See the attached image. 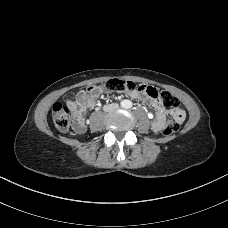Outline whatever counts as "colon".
Here are the masks:
<instances>
[{"label":"colon","instance_id":"5ec220e1","mask_svg":"<svg viewBox=\"0 0 228 228\" xmlns=\"http://www.w3.org/2000/svg\"><path fill=\"white\" fill-rule=\"evenodd\" d=\"M95 86V85H92ZM100 88H106L108 90H138L150 98L158 97L164 109L172 112V115L166 120L163 133L166 136L174 134L179 128L178 116L180 115V109L178 107V99L168 91H160L152 86L138 85L132 81L125 79H111ZM52 118L54 125L58 130L65 131L70 126L71 111L69 106L58 101L54 103L52 107Z\"/></svg>","mask_w":228,"mask_h":228}]
</instances>
